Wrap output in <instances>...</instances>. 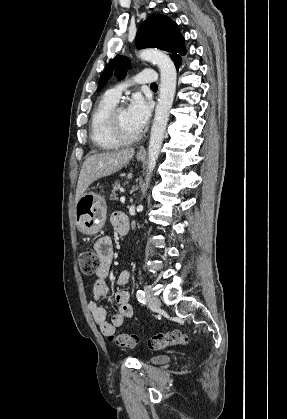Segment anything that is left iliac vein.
Returning <instances> with one entry per match:
<instances>
[{"label":"left iliac vein","instance_id":"4c4485c4","mask_svg":"<svg viewBox=\"0 0 287 419\" xmlns=\"http://www.w3.org/2000/svg\"><path fill=\"white\" fill-rule=\"evenodd\" d=\"M145 292L147 305L152 309H158L161 306V302L158 297H156L148 287L145 288Z\"/></svg>","mask_w":287,"mask_h":419}]
</instances>
